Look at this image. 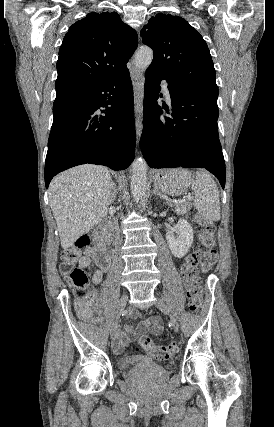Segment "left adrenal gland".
<instances>
[{
	"mask_svg": "<svg viewBox=\"0 0 274 427\" xmlns=\"http://www.w3.org/2000/svg\"><path fill=\"white\" fill-rule=\"evenodd\" d=\"M153 194H156V196H159V198H163V194H161V192H159L158 188H154Z\"/></svg>",
	"mask_w": 274,
	"mask_h": 427,
	"instance_id": "left-adrenal-gland-1",
	"label": "left adrenal gland"
}]
</instances>
